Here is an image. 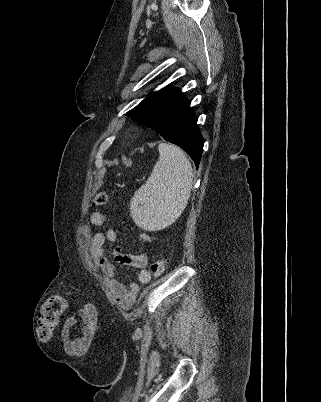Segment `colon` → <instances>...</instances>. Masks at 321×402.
<instances>
[{"label":"colon","mask_w":321,"mask_h":402,"mask_svg":"<svg viewBox=\"0 0 321 402\" xmlns=\"http://www.w3.org/2000/svg\"><path fill=\"white\" fill-rule=\"evenodd\" d=\"M108 194L100 192L93 198V206H104L107 203ZM167 261L165 258L154 260L150 265V272L154 277H160L166 270ZM67 307L64 297L52 295L47 299L41 310L37 323V334L41 339H50L58 320L63 315Z\"/></svg>","instance_id":"1"}]
</instances>
